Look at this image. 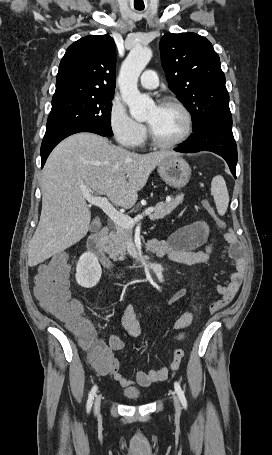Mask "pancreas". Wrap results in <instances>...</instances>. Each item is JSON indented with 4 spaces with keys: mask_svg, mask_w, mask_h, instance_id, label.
Segmentation results:
<instances>
[{
    "mask_svg": "<svg viewBox=\"0 0 272 455\" xmlns=\"http://www.w3.org/2000/svg\"><path fill=\"white\" fill-rule=\"evenodd\" d=\"M183 201L182 196L171 198L170 201L159 202L154 207V213L149 215L151 220L163 219L165 216L171 214V212ZM130 236V228H124L117 224L112 228L108 236V246L106 247V253L109 254L110 258L116 261H124L127 250V241Z\"/></svg>",
    "mask_w": 272,
    "mask_h": 455,
    "instance_id": "cf45deb5",
    "label": "pancreas"
}]
</instances>
